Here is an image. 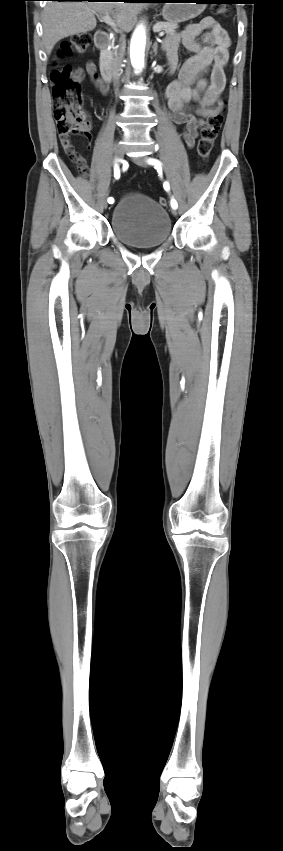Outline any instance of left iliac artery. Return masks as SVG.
<instances>
[{
	"mask_svg": "<svg viewBox=\"0 0 283 851\" xmlns=\"http://www.w3.org/2000/svg\"><path fill=\"white\" fill-rule=\"evenodd\" d=\"M148 163H149V164L154 165L155 167H160V166H161L160 161H158V160H156V159H149V160H148ZM163 186H164V189H165L166 191H169V190H170V186H169V183H168V182H165ZM171 207H172L173 209H176V208L178 207V204H177V202H176V200H175V199H171Z\"/></svg>",
	"mask_w": 283,
	"mask_h": 851,
	"instance_id": "left-iliac-artery-1",
	"label": "left iliac artery"
}]
</instances>
